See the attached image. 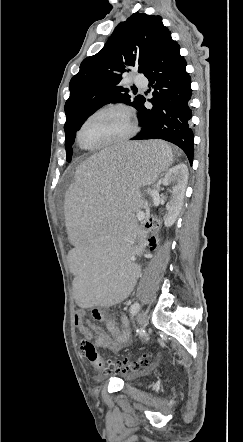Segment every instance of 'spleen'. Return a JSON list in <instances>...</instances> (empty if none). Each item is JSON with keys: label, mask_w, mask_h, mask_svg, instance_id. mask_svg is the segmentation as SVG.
Returning a JSON list of instances; mask_svg holds the SVG:
<instances>
[{"label": "spleen", "mask_w": 243, "mask_h": 442, "mask_svg": "<svg viewBox=\"0 0 243 442\" xmlns=\"http://www.w3.org/2000/svg\"><path fill=\"white\" fill-rule=\"evenodd\" d=\"M173 164L171 147L163 141L101 147L86 163H78L64 201L67 231L75 248L70 273L77 307H114L141 277V253L136 240L137 217L146 209L139 192L165 178ZM124 192V193H95Z\"/></svg>", "instance_id": "obj_1"}]
</instances>
